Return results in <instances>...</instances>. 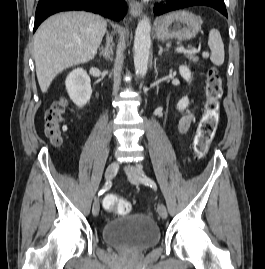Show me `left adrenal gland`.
I'll return each instance as SVG.
<instances>
[{
  "mask_svg": "<svg viewBox=\"0 0 265 269\" xmlns=\"http://www.w3.org/2000/svg\"><path fill=\"white\" fill-rule=\"evenodd\" d=\"M163 51H167V49H163L161 45H159V52L158 55H162Z\"/></svg>",
  "mask_w": 265,
  "mask_h": 269,
  "instance_id": "left-adrenal-gland-1",
  "label": "left adrenal gland"
}]
</instances>
